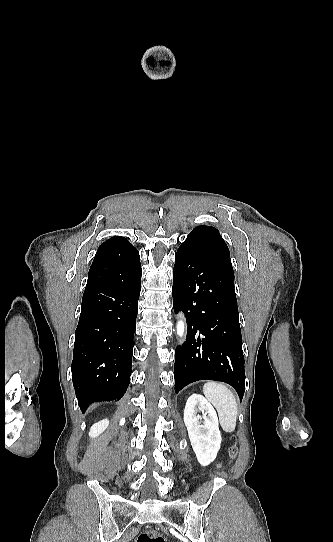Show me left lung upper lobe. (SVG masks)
<instances>
[{
  "label": "left lung upper lobe",
  "mask_w": 333,
  "mask_h": 542,
  "mask_svg": "<svg viewBox=\"0 0 333 542\" xmlns=\"http://www.w3.org/2000/svg\"><path fill=\"white\" fill-rule=\"evenodd\" d=\"M184 242H189L204 254L227 261L231 264L230 252L219 231L211 226L201 225L192 230Z\"/></svg>",
  "instance_id": "obj_1"
}]
</instances>
